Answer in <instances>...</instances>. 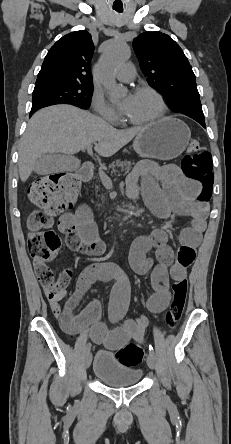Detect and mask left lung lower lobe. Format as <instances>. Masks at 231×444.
Segmentation results:
<instances>
[{
	"instance_id": "1",
	"label": "left lung lower lobe",
	"mask_w": 231,
	"mask_h": 444,
	"mask_svg": "<svg viewBox=\"0 0 231 444\" xmlns=\"http://www.w3.org/2000/svg\"><path fill=\"white\" fill-rule=\"evenodd\" d=\"M198 123H200L203 127H205V119L194 118Z\"/></svg>"
}]
</instances>
